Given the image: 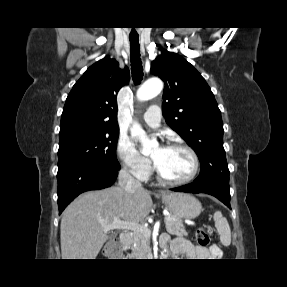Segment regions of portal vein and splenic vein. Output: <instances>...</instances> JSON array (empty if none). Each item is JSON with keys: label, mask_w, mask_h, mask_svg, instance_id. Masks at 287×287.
<instances>
[{"label": "portal vein and splenic vein", "mask_w": 287, "mask_h": 287, "mask_svg": "<svg viewBox=\"0 0 287 287\" xmlns=\"http://www.w3.org/2000/svg\"><path fill=\"white\" fill-rule=\"evenodd\" d=\"M165 220H168V217L165 216ZM105 231H109L111 229H126L131 230L133 232H141L144 234H151V231L149 228H147L144 225L138 224V223H132V222H126L122 221L118 218H115L111 224L104 225Z\"/></svg>", "instance_id": "portal-vein-and-splenic-vein-1"}]
</instances>
